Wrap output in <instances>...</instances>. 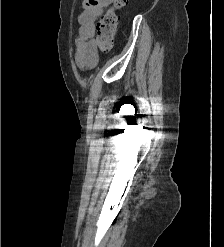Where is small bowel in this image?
Instances as JSON below:
<instances>
[{
  "mask_svg": "<svg viewBox=\"0 0 224 247\" xmlns=\"http://www.w3.org/2000/svg\"><path fill=\"white\" fill-rule=\"evenodd\" d=\"M112 0H84L83 11L78 16L79 34L75 41V59L80 67H93L97 62L95 22Z\"/></svg>",
  "mask_w": 224,
  "mask_h": 247,
  "instance_id": "obj_1",
  "label": "small bowel"
}]
</instances>
